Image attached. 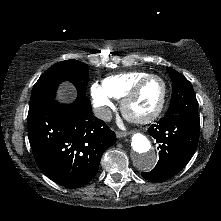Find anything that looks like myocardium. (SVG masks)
<instances>
[{"mask_svg": "<svg viewBox=\"0 0 221 221\" xmlns=\"http://www.w3.org/2000/svg\"><path fill=\"white\" fill-rule=\"evenodd\" d=\"M151 79H158L162 83L163 90H162V96H161L159 104L157 105V107L155 108L154 111H152L151 113H149L147 115L138 116V115L132 114L129 110V106H130L131 102L139 94L140 90L145 85V83ZM167 93H168V88H167L166 81L161 76H159L157 74H148V75L144 76L143 78H141L140 80H138L132 86V88L126 93V95L122 98L121 112H122L123 116L130 122H133L136 124L150 123V122L154 121L156 118H158L160 116V114L162 113L165 103H166Z\"/></svg>", "mask_w": 221, "mask_h": 221, "instance_id": "1", "label": "myocardium"}]
</instances>
